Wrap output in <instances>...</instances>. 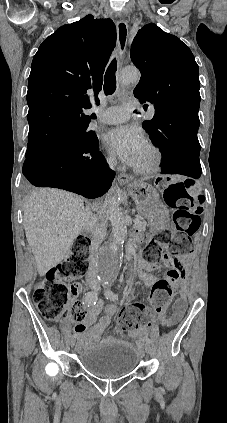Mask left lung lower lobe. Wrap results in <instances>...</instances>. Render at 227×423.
<instances>
[{"instance_id":"left-lung-lower-lobe-1","label":"left lung lower lobe","mask_w":227,"mask_h":423,"mask_svg":"<svg viewBox=\"0 0 227 423\" xmlns=\"http://www.w3.org/2000/svg\"><path fill=\"white\" fill-rule=\"evenodd\" d=\"M200 123L187 122L174 131L161 134L153 139L163 154L162 173L182 174L199 178L201 165L199 161L200 144L197 132Z\"/></svg>"}]
</instances>
